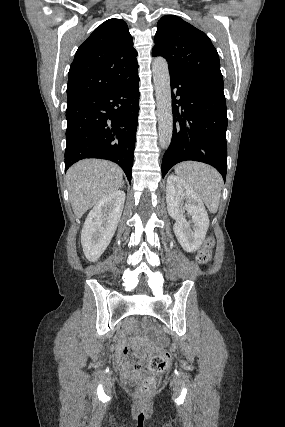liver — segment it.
I'll return each mask as SVG.
<instances>
[{"instance_id": "obj_1", "label": "liver", "mask_w": 285, "mask_h": 427, "mask_svg": "<svg viewBox=\"0 0 285 427\" xmlns=\"http://www.w3.org/2000/svg\"><path fill=\"white\" fill-rule=\"evenodd\" d=\"M122 180L123 171L110 161L86 159L71 166L66 182L75 216L81 218L98 201L117 191Z\"/></svg>"}]
</instances>
